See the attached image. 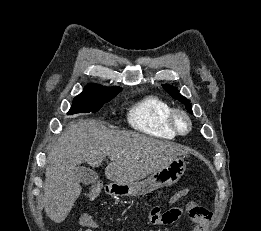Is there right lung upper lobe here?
<instances>
[{
    "label": "right lung upper lobe",
    "instance_id": "obj_1",
    "mask_svg": "<svg viewBox=\"0 0 261 231\" xmlns=\"http://www.w3.org/2000/svg\"><path fill=\"white\" fill-rule=\"evenodd\" d=\"M121 90H122L121 88L115 86L111 88H107L101 85L89 84L84 88L83 92L80 95H101V94L115 93Z\"/></svg>",
    "mask_w": 261,
    "mask_h": 231
}]
</instances>
